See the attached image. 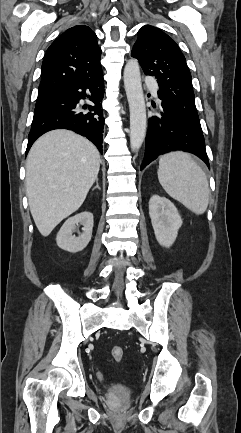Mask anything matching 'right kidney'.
<instances>
[{
  "instance_id": "obj_1",
  "label": "right kidney",
  "mask_w": 241,
  "mask_h": 433,
  "mask_svg": "<svg viewBox=\"0 0 241 433\" xmlns=\"http://www.w3.org/2000/svg\"><path fill=\"white\" fill-rule=\"evenodd\" d=\"M93 223V214L87 211L67 219L56 237L58 247L71 253L82 251L91 240ZM79 224L83 225V233L75 237L72 232Z\"/></svg>"
}]
</instances>
